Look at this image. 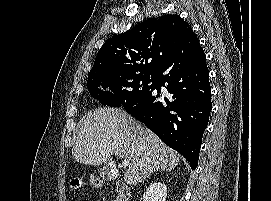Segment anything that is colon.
<instances>
[{"mask_svg": "<svg viewBox=\"0 0 271 201\" xmlns=\"http://www.w3.org/2000/svg\"><path fill=\"white\" fill-rule=\"evenodd\" d=\"M82 185V183L80 181H75L73 183V186L74 187H80ZM88 185L93 187V188H101L102 187V184L99 180L97 179H90L89 182H88Z\"/></svg>", "mask_w": 271, "mask_h": 201, "instance_id": "obj_1", "label": "colon"}]
</instances>
